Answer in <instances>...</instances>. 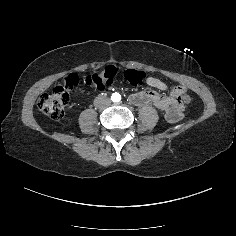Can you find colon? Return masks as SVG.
I'll use <instances>...</instances> for the list:
<instances>
[{
  "label": "colon",
  "mask_w": 236,
  "mask_h": 236,
  "mask_svg": "<svg viewBox=\"0 0 236 236\" xmlns=\"http://www.w3.org/2000/svg\"><path fill=\"white\" fill-rule=\"evenodd\" d=\"M116 75L117 69L114 66H108L101 71L90 73L84 77L71 73L65 76L62 85L55 87L51 93H45L40 96L37 103L38 108L43 114L59 120L64 116L65 108L69 102L70 90L81 82L92 88L103 90L106 86L113 83ZM125 78L130 84L138 86L142 84L145 74L139 70L128 69L125 72ZM176 96L182 104H190L192 101L190 94L184 88H177Z\"/></svg>",
  "instance_id": "obj_1"
}]
</instances>
